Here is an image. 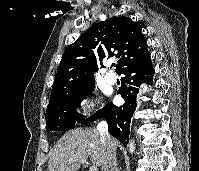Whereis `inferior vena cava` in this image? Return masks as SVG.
Masks as SVG:
<instances>
[{"mask_svg": "<svg viewBox=\"0 0 199 171\" xmlns=\"http://www.w3.org/2000/svg\"><path fill=\"white\" fill-rule=\"evenodd\" d=\"M97 130L100 136L107 143V153L104 165L102 166V171H117L116 169V149L112 142V138L108 132V124L106 121H101L97 125Z\"/></svg>", "mask_w": 199, "mask_h": 171, "instance_id": "obj_1", "label": "inferior vena cava"}]
</instances>
